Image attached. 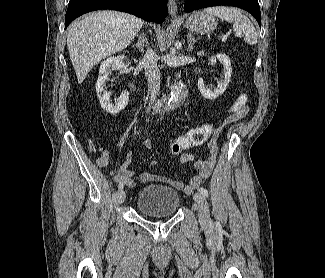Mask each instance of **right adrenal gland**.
Returning a JSON list of instances; mask_svg holds the SVG:
<instances>
[{"mask_svg": "<svg viewBox=\"0 0 325 278\" xmlns=\"http://www.w3.org/2000/svg\"><path fill=\"white\" fill-rule=\"evenodd\" d=\"M148 41L144 33H141V35L138 36V42L133 45V47H137L139 52L144 51V47L147 46Z\"/></svg>", "mask_w": 325, "mask_h": 278, "instance_id": "right-adrenal-gland-1", "label": "right adrenal gland"}]
</instances>
